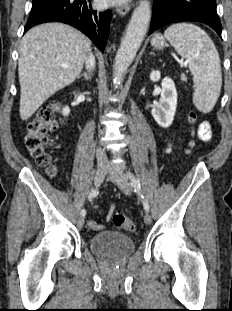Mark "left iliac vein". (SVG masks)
I'll return each mask as SVG.
<instances>
[{
	"mask_svg": "<svg viewBox=\"0 0 232 311\" xmlns=\"http://www.w3.org/2000/svg\"><path fill=\"white\" fill-rule=\"evenodd\" d=\"M109 178L122 190L126 195H130L132 192L131 184L128 178L121 172H114L109 174ZM151 215L146 212L144 214V222L146 225L151 224Z\"/></svg>",
	"mask_w": 232,
	"mask_h": 311,
	"instance_id": "obj_1",
	"label": "left iliac vein"
}]
</instances>
